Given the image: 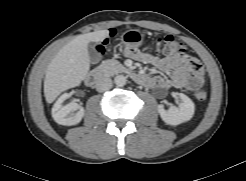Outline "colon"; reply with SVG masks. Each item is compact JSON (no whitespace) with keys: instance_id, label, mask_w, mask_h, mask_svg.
I'll list each match as a JSON object with an SVG mask.
<instances>
[{"instance_id":"colon-1","label":"colon","mask_w":246,"mask_h":181,"mask_svg":"<svg viewBox=\"0 0 246 181\" xmlns=\"http://www.w3.org/2000/svg\"><path fill=\"white\" fill-rule=\"evenodd\" d=\"M151 47L153 53L156 55H174L183 52L185 49V45L179 42L173 35L153 38ZM95 51L98 55H102L104 53V46H96ZM190 67L194 74L199 78L202 73L200 62L197 60L192 61ZM194 97L199 101H203L206 99L207 93L202 89H198L194 92Z\"/></svg>"}]
</instances>
